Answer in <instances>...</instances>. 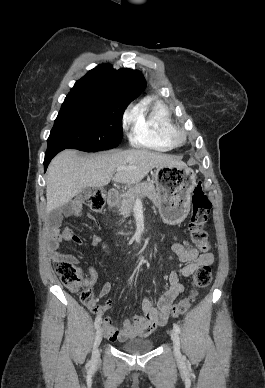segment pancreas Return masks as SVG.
Here are the masks:
<instances>
[{
	"label": "pancreas",
	"mask_w": 265,
	"mask_h": 388,
	"mask_svg": "<svg viewBox=\"0 0 265 388\" xmlns=\"http://www.w3.org/2000/svg\"><path fill=\"white\" fill-rule=\"evenodd\" d=\"M144 196H147V198L152 200L156 206H159L160 198L155 190L154 184H152V182H140V184H136V186H131L126 194H123L121 208H119V212H121L122 216L128 218L131 210H133L135 200H137V198H140L141 200Z\"/></svg>",
	"instance_id": "obj_1"
}]
</instances>
